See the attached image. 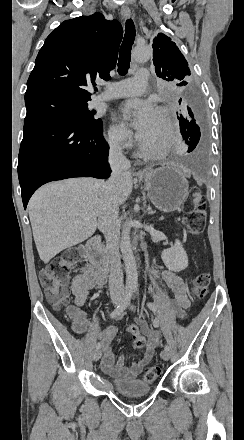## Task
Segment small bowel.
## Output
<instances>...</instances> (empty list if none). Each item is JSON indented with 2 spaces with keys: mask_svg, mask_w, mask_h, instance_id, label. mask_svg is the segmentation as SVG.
<instances>
[{
  "mask_svg": "<svg viewBox=\"0 0 244 440\" xmlns=\"http://www.w3.org/2000/svg\"><path fill=\"white\" fill-rule=\"evenodd\" d=\"M153 280H156L158 274L152 272ZM162 279L172 293V297L163 300L162 309L166 314H175L179 318L186 317V310L190 307V299L187 295L186 285L181 275L172 271L164 270ZM107 283V273H103L100 269L92 265L82 267L76 275L73 285L72 294L74 303L83 306L88 298L90 290L96 287H102ZM139 332L147 339L149 345L145 348L142 359L134 361L129 367L126 366V356L121 354L115 359L112 347L113 339L116 335V328L110 326L99 332L98 328L89 321L86 328L90 334L99 335L103 355L100 362L101 370L115 380H132L135 379L143 368L151 361L156 349L161 345L162 337L160 333L150 327L143 319L138 322Z\"/></svg>",
  "mask_w": 244,
  "mask_h": 440,
  "instance_id": "small-bowel-1",
  "label": "small bowel"
}]
</instances>
